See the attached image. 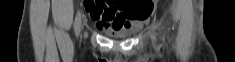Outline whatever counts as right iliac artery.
Here are the masks:
<instances>
[{
  "instance_id": "82829eb1",
  "label": "right iliac artery",
  "mask_w": 235,
  "mask_h": 62,
  "mask_svg": "<svg viewBox=\"0 0 235 62\" xmlns=\"http://www.w3.org/2000/svg\"><path fill=\"white\" fill-rule=\"evenodd\" d=\"M81 26V13L80 11H78L77 15H76V19H75V32L76 34H78L79 29Z\"/></svg>"
}]
</instances>
